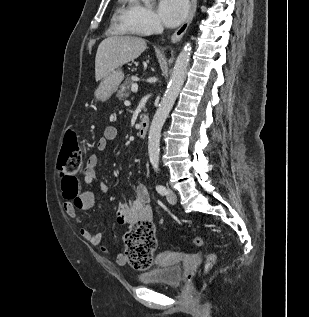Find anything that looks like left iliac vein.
<instances>
[{"instance_id":"left-iliac-vein-1","label":"left iliac vein","mask_w":309,"mask_h":317,"mask_svg":"<svg viewBox=\"0 0 309 317\" xmlns=\"http://www.w3.org/2000/svg\"><path fill=\"white\" fill-rule=\"evenodd\" d=\"M166 198H167V201L172 205L176 204L177 202V196L171 188L167 189Z\"/></svg>"}]
</instances>
